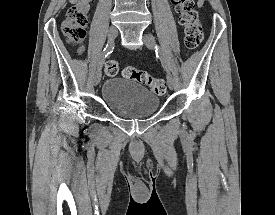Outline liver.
Listing matches in <instances>:
<instances>
[{"label": "liver", "instance_id": "1", "mask_svg": "<svg viewBox=\"0 0 275 215\" xmlns=\"http://www.w3.org/2000/svg\"><path fill=\"white\" fill-rule=\"evenodd\" d=\"M72 2H75L76 0H71Z\"/></svg>", "mask_w": 275, "mask_h": 215}]
</instances>
